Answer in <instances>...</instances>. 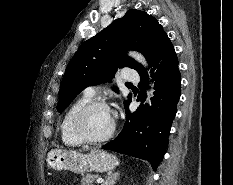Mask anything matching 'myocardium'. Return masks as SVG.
Listing matches in <instances>:
<instances>
[{
	"instance_id": "f54148a6",
	"label": "myocardium",
	"mask_w": 233,
	"mask_h": 185,
	"mask_svg": "<svg viewBox=\"0 0 233 185\" xmlns=\"http://www.w3.org/2000/svg\"><path fill=\"white\" fill-rule=\"evenodd\" d=\"M95 108H104L110 111L109 106L105 102L98 100L90 101L78 110L73 119L72 127L74 134L81 142L86 144L103 143L112 138L116 131V123L113 120V125L106 135L94 138L87 134L84 128V119L87 114Z\"/></svg>"
}]
</instances>
